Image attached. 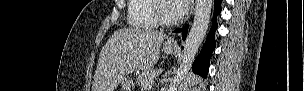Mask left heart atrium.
<instances>
[{
    "instance_id": "left-heart-atrium-1",
    "label": "left heart atrium",
    "mask_w": 304,
    "mask_h": 91,
    "mask_svg": "<svg viewBox=\"0 0 304 91\" xmlns=\"http://www.w3.org/2000/svg\"><path fill=\"white\" fill-rule=\"evenodd\" d=\"M176 10L179 16L185 14L190 7V0H175Z\"/></svg>"
}]
</instances>
